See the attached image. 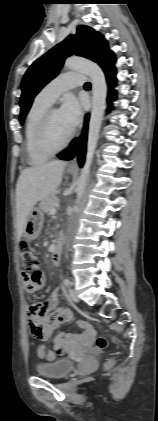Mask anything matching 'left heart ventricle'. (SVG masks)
Listing matches in <instances>:
<instances>
[{
	"label": "left heart ventricle",
	"instance_id": "1",
	"mask_svg": "<svg viewBox=\"0 0 158 421\" xmlns=\"http://www.w3.org/2000/svg\"><path fill=\"white\" fill-rule=\"evenodd\" d=\"M71 130L63 122L59 110H54L51 114L50 126H49V137L53 145L61 144Z\"/></svg>",
	"mask_w": 158,
	"mask_h": 421
}]
</instances>
